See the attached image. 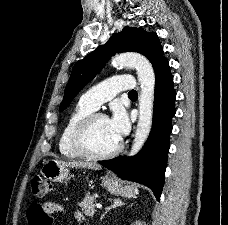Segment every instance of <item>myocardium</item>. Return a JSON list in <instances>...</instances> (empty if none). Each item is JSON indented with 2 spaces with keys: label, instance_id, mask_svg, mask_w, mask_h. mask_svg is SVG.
<instances>
[{
  "label": "myocardium",
  "instance_id": "myocardium-1",
  "mask_svg": "<svg viewBox=\"0 0 228 225\" xmlns=\"http://www.w3.org/2000/svg\"><path fill=\"white\" fill-rule=\"evenodd\" d=\"M106 118L104 114L101 113H91L82 119L76 126L72 135V145L76 151L88 158L93 159H105L118 154L123 149V142L119 141L118 145L114 148L100 152L94 149L89 140L90 130L97 118Z\"/></svg>",
  "mask_w": 228,
  "mask_h": 225
}]
</instances>
